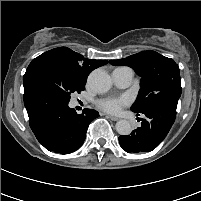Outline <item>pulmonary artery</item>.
<instances>
[{"label":"pulmonary artery","instance_id":"obj_1","mask_svg":"<svg viewBox=\"0 0 201 201\" xmlns=\"http://www.w3.org/2000/svg\"><path fill=\"white\" fill-rule=\"evenodd\" d=\"M114 83L121 88H125L132 83L133 71L127 67H120L112 72Z\"/></svg>","mask_w":201,"mask_h":201}]
</instances>
